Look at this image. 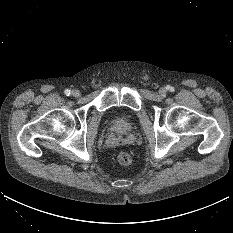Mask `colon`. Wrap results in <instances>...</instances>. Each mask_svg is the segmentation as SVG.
Wrapping results in <instances>:
<instances>
[{"mask_svg":"<svg viewBox=\"0 0 233 233\" xmlns=\"http://www.w3.org/2000/svg\"><path fill=\"white\" fill-rule=\"evenodd\" d=\"M117 160L121 165H129L132 162V157L128 152L122 151L118 154Z\"/></svg>","mask_w":233,"mask_h":233,"instance_id":"colon-1","label":"colon"}]
</instances>
